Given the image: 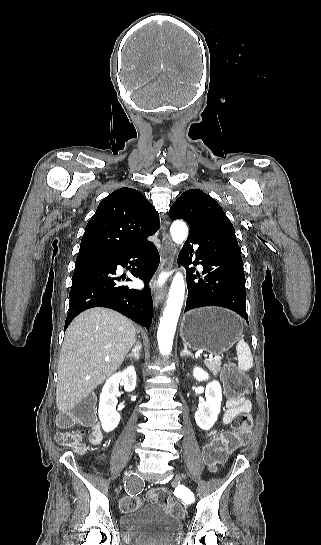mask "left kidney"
Here are the masks:
<instances>
[{"instance_id": "5707ae66", "label": "left kidney", "mask_w": 321, "mask_h": 545, "mask_svg": "<svg viewBox=\"0 0 321 545\" xmlns=\"http://www.w3.org/2000/svg\"><path fill=\"white\" fill-rule=\"evenodd\" d=\"M193 377H195L197 381H207V379H209L208 373L203 371L201 367H194ZM205 397L206 401H204V403H199L198 405V411L195 413V421L200 429L209 431L214 423H216L221 409L222 389L218 381L208 383Z\"/></svg>"}]
</instances>
